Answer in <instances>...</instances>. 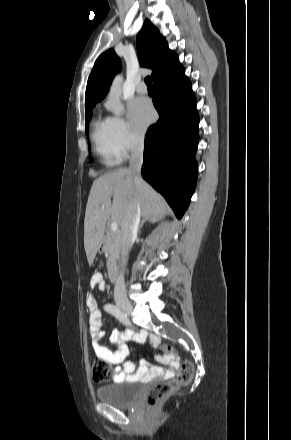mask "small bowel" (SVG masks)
Returning <instances> with one entry per match:
<instances>
[{"mask_svg":"<svg viewBox=\"0 0 291 440\" xmlns=\"http://www.w3.org/2000/svg\"><path fill=\"white\" fill-rule=\"evenodd\" d=\"M92 288L98 287L103 290L106 288L102 275L94 274L90 280ZM86 305L90 310V335L94 352L97 357L105 360L107 363L116 365L114 370V379L116 381L122 379L141 380L148 382L156 377L164 376L170 377L179 369L180 359L176 354L168 358H158L159 361L168 365L164 369L158 366L151 365L147 360H142L139 367H136L132 362H125L122 367L118 366L129 354V348L126 341L132 337L130 333H123L117 329L112 330L110 334L111 348L102 345L104 337L103 318L101 311L97 308V301L93 295L86 296ZM145 335L143 333L134 335L137 341L143 340ZM149 342L152 347H156L159 339L155 335H149Z\"/></svg>","mask_w":291,"mask_h":440,"instance_id":"1","label":"small bowel"}]
</instances>
